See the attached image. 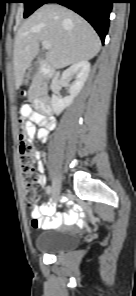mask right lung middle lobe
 Masks as SVG:
<instances>
[{"label":"right lung middle lobe","instance_id":"right-lung-middle-lobe-1","mask_svg":"<svg viewBox=\"0 0 136 296\" xmlns=\"http://www.w3.org/2000/svg\"><path fill=\"white\" fill-rule=\"evenodd\" d=\"M46 0H18V2H22L25 4V12L24 17H28L32 14L36 9L44 4Z\"/></svg>","mask_w":136,"mask_h":296}]
</instances>
